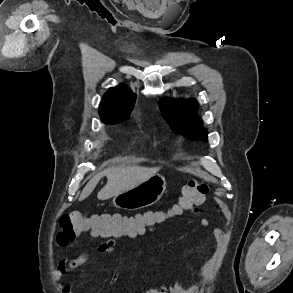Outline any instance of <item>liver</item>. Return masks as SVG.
<instances>
[{"label":"liver","instance_id":"obj_1","mask_svg":"<svg viewBox=\"0 0 293 293\" xmlns=\"http://www.w3.org/2000/svg\"><path fill=\"white\" fill-rule=\"evenodd\" d=\"M159 168H147L140 166H129V167H112L101 173L96 174L84 187L80 194L79 201L87 198L102 175L107 177L106 185L98 192L97 198L99 200H107L112 198L124 191H127L140 183L148 180L150 177L156 174Z\"/></svg>","mask_w":293,"mask_h":293}]
</instances>
